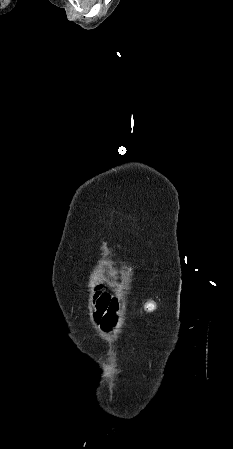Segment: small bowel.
Wrapping results in <instances>:
<instances>
[{"label":"small bowel","mask_w":233,"mask_h":449,"mask_svg":"<svg viewBox=\"0 0 233 449\" xmlns=\"http://www.w3.org/2000/svg\"><path fill=\"white\" fill-rule=\"evenodd\" d=\"M109 297H111V296L109 295ZM96 299H97V298H96ZM116 324H117V323H114L113 326H112L111 328H103V329H105V330H111V329H113V328L116 326Z\"/></svg>","instance_id":"c3829d8e"}]
</instances>
